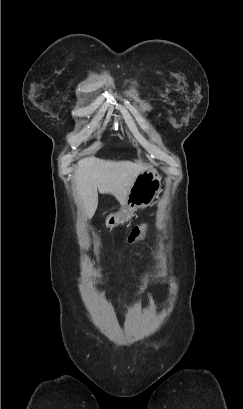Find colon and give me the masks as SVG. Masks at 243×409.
I'll list each match as a JSON object with an SVG mask.
<instances>
[{
	"label": "colon",
	"instance_id": "colon-1",
	"mask_svg": "<svg viewBox=\"0 0 243 409\" xmlns=\"http://www.w3.org/2000/svg\"><path fill=\"white\" fill-rule=\"evenodd\" d=\"M147 228L148 223H142L138 226H135L128 235L127 242L131 245L137 244V242L139 241L142 234L146 231Z\"/></svg>",
	"mask_w": 243,
	"mask_h": 409
}]
</instances>
